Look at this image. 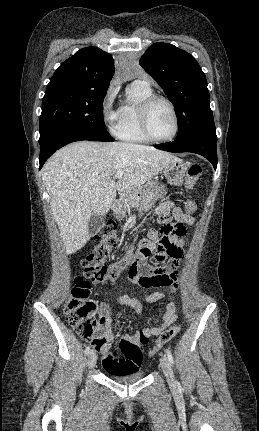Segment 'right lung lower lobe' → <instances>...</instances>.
<instances>
[{
    "label": "right lung lower lobe",
    "instance_id": "obj_1",
    "mask_svg": "<svg viewBox=\"0 0 259 431\" xmlns=\"http://www.w3.org/2000/svg\"><path fill=\"white\" fill-rule=\"evenodd\" d=\"M81 140H91V141H104V142H112L110 136L103 135L88 129H84L77 126H62L57 127L49 132H47L44 136H41L39 139L40 144V168H42L43 164L46 160L58 149L61 147L75 141Z\"/></svg>",
    "mask_w": 259,
    "mask_h": 431
}]
</instances>
